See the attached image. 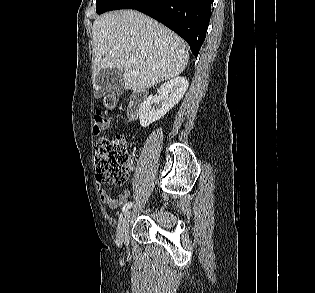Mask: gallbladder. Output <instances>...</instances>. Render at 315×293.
Wrapping results in <instances>:
<instances>
[{
    "instance_id": "obj_1",
    "label": "gallbladder",
    "mask_w": 315,
    "mask_h": 293,
    "mask_svg": "<svg viewBox=\"0 0 315 293\" xmlns=\"http://www.w3.org/2000/svg\"><path fill=\"white\" fill-rule=\"evenodd\" d=\"M123 71L118 68L103 69L97 76V83L104 89L113 90L117 95L122 94Z\"/></svg>"
}]
</instances>
